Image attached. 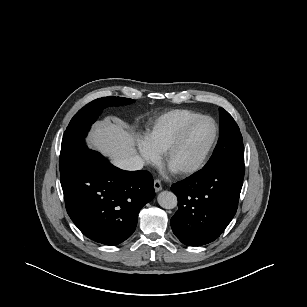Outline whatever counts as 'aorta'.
<instances>
[{
	"mask_svg": "<svg viewBox=\"0 0 307 307\" xmlns=\"http://www.w3.org/2000/svg\"><path fill=\"white\" fill-rule=\"evenodd\" d=\"M157 201L162 208L173 209L177 206V197L173 192L162 191L157 197Z\"/></svg>",
	"mask_w": 307,
	"mask_h": 307,
	"instance_id": "aorta-1",
	"label": "aorta"
}]
</instances>
